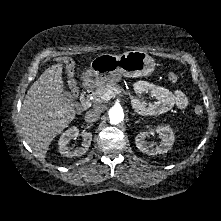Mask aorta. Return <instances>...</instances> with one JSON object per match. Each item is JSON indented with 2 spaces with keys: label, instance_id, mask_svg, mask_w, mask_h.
<instances>
[{
  "label": "aorta",
  "instance_id": "obj_1",
  "mask_svg": "<svg viewBox=\"0 0 221 221\" xmlns=\"http://www.w3.org/2000/svg\"><path fill=\"white\" fill-rule=\"evenodd\" d=\"M108 116L111 124H119L124 119L123 109L119 106H114L109 110Z\"/></svg>",
  "mask_w": 221,
  "mask_h": 221
}]
</instances>
